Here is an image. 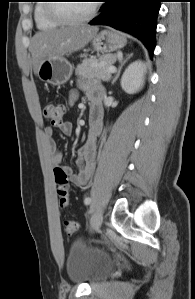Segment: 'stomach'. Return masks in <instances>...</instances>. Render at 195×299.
<instances>
[{
    "label": "stomach",
    "mask_w": 195,
    "mask_h": 299,
    "mask_svg": "<svg viewBox=\"0 0 195 299\" xmlns=\"http://www.w3.org/2000/svg\"><path fill=\"white\" fill-rule=\"evenodd\" d=\"M126 39L115 31L103 30L91 39V45L97 52L109 54L125 46ZM73 67L64 57L46 59L39 67L38 77L53 86L65 84L71 77Z\"/></svg>",
    "instance_id": "stomach-1"
}]
</instances>
